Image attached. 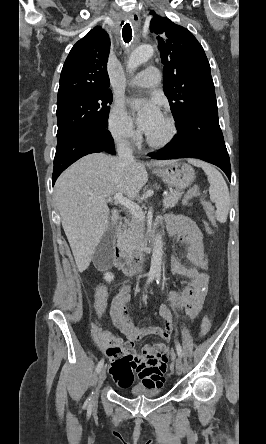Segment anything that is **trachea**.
Masks as SVG:
<instances>
[{
    "instance_id": "obj_1",
    "label": "trachea",
    "mask_w": 266,
    "mask_h": 444,
    "mask_svg": "<svg viewBox=\"0 0 266 444\" xmlns=\"http://www.w3.org/2000/svg\"><path fill=\"white\" fill-rule=\"evenodd\" d=\"M122 37L125 43H129L132 39V28L129 23H126L122 29Z\"/></svg>"
}]
</instances>
